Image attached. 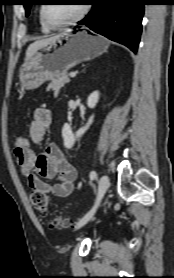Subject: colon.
Listing matches in <instances>:
<instances>
[{
	"mask_svg": "<svg viewBox=\"0 0 174 278\" xmlns=\"http://www.w3.org/2000/svg\"><path fill=\"white\" fill-rule=\"evenodd\" d=\"M30 145V140L23 136H18L15 139V147L18 150H24ZM30 201L34 209L42 215H45L48 208V197L45 193L41 191H31L30 192ZM70 225V221L67 218H54L50 222L52 228H65Z\"/></svg>",
	"mask_w": 174,
	"mask_h": 278,
	"instance_id": "obj_1",
	"label": "colon"
}]
</instances>
